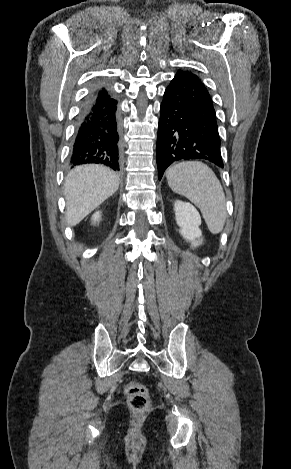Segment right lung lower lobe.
Returning a JSON list of instances; mask_svg holds the SVG:
<instances>
[{"mask_svg": "<svg viewBox=\"0 0 291 469\" xmlns=\"http://www.w3.org/2000/svg\"><path fill=\"white\" fill-rule=\"evenodd\" d=\"M120 134L117 101L105 88L94 87L78 116L70 165L95 163L119 170Z\"/></svg>", "mask_w": 291, "mask_h": 469, "instance_id": "98d812e1", "label": "right lung lower lobe"}]
</instances>
